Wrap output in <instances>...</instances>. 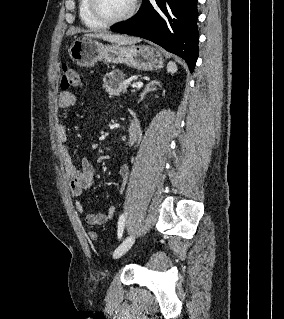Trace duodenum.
<instances>
[{
  "label": "duodenum",
  "mask_w": 284,
  "mask_h": 319,
  "mask_svg": "<svg viewBox=\"0 0 284 319\" xmlns=\"http://www.w3.org/2000/svg\"><path fill=\"white\" fill-rule=\"evenodd\" d=\"M137 136V131H136V127L135 125H130L129 129H128V141L129 143H132L135 141Z\"/></svg>",
  "instance_id": "obj_1"
}]
</instances>
